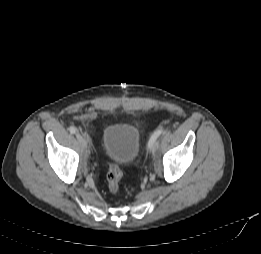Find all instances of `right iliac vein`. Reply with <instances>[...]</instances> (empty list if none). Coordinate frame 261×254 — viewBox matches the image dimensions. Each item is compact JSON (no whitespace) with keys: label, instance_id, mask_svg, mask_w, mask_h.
<instances>
[{"label":"right iliac vein","instance_id":"right-iliac-vein-1","mask_svg":"<svg viewBox=\"0 0 261 254\" xmlns=\"http://www.w3.org/2000/svg\"><path fill=\"white\" fill-rule=\"evenodd\" d=\"M76 137H77L78 141L80 142V144L82 145V147L86 148L90 145V140L84 138L80 133H77Z\"/></svg>","mask_w":261,"mask_h":254}]
</instances>
